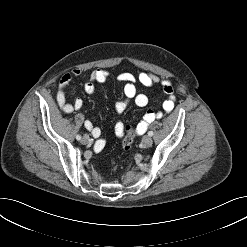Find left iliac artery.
<instances>
[{
  "label": "left iliac artery",
  "instance_id": "left-iliac-artery-1",
  "mask_svg": "<svg viewBox=\"0 0 247 247\" xmlns=\"http://www.w3.org/2000/svg\"><path fill=\"white\" fill-rule=\"evenodd\" d=\"M148 135H149V136H153V132H152V131H149V132H148Z\"/></svg>",
  "mask_w": 247,
  "mask_h": 247
}]
</instances>
